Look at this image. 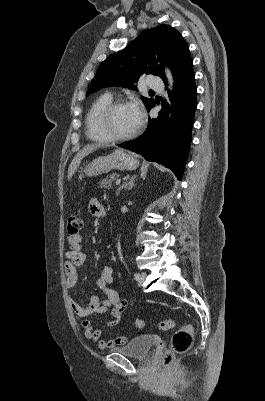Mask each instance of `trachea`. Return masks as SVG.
I'll list each match as a JSON object with an SVG mask.
<instances>
[{
    "label": "trachea",
    "mask_w": 265,
    "mask_h": 401,
    "mask_svg": "<svg viewBox=\"0 0 265 401\" xmlns=\"http://www.w3.org/2000/svg\"><path fill=\"white\" fill-rule=\"evenodd\" d=\"M149 93H155L153 90H150Z\"/></svg>",
    "instance_id": "trachea-1"
}]
</instances>
